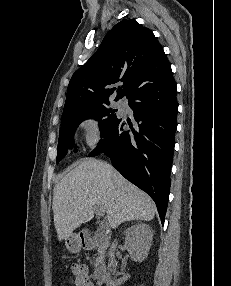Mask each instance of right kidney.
Listing matches in <instances>:
<instances>
[{
    "label": "right kidney",
    "mask_w": 231,
    "mask_h": 286,
    "mask_svg": "<svg viewBox=\"0 0 231 286\" xmlns=\"http://www.w3.org/2000/svg\"><path fill=\"white\" fill-rule=\"evenodd\" d=\"M125 245L130 257L135 262L143 261L150 250L153 240V232L149 225L140 223L127 228L124 231ZM117 241L113 243V248L117 246ZM117 266L114 255L111 256L108 264V270L111 272ZM130 278L129 274L124 275L121 279L113 281L110 273L106 277V286H120Z\"/></svg>",
    "instance_id": "ca27d5eb"
}]
</instances>
